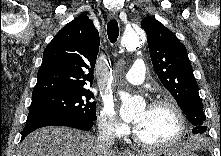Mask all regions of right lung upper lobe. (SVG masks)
<instances>
[{"instance_id":"1","label":"right lung upper lobe","mask_w":221,"mask_h":156,"mask_svg":"<svg viewBox=\"0 0 221 156\" xmlns=\"http://www.w3.org/2000/svg\"><path fill=\"white\" fill-rule=\"evenodd\" d=\"M99 43V33L86 14L66 24L44 50L32 99L92 85Z\"/></svg>"}]
</instances>
